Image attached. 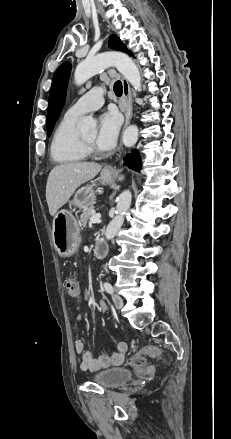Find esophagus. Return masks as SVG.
Here are the masks:
<instances>
[{"mask_svg": "<svg viewBox=\"0 0 231 439\" xmlns=\"http://www.w3.org/2000/svg\"><path fill=\"white\" fill-rule=\"evenodd\" d=\"M122 86H123V97L126 103V108H125V124H124V128L127 127V125L129 124L131 118H132V94H131V89H130V85L128 83V81L126 80V78L122 77ZM115 168L111 165L106 167V171H114Z\"/></svg>", "mask_w": 231, "mask_h": 439, "instance_id": "1", "label": "esophagus"}]
</instances>
